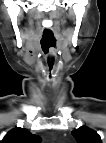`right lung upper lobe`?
Returning a JSON list of instances; mask_svg holds the SVG:
<instances>
[{"mask_svg": "<svg viewBox=\"0 0 106 143\" xmlns=\"http://www.w3.org/2000/svg\"><path fill=\"white\" fill-rule=\"evenodd\" d=\"M41 138L31 134L25 128H14L9 131L2 140V143H39Z\"/></svg>", "mask_w": 106, "mask_h": 143, "instance_id": "obj_1", "label": "right lung upper lobe"}]
</instances>
